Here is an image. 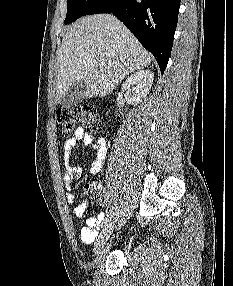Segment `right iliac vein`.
I'll use <instances>...</instances> for the list:
<instances>
[{
	"label": "right iliac vein",
	"mask_w": 233,
	"mask_h": 286,
	"mask_svg": "<svg viewBox=\"0 0 233 286\" xmlns=\"http://www.w3.org/2000/svg\"><path fill=\"white\" fill-rule=\"evenodd\" d=\"M112 229L113 228L111 226L106 227L97 237L94 248L95 255L97 256V258L101 255L102 249L104 248L108 238L110 237Z\"/></svg>",
	"instance_id": "63e3f726"
}]
</instances>
